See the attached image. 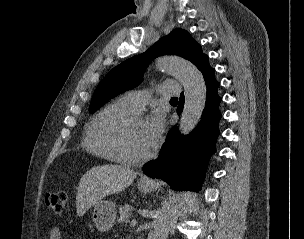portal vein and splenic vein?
<instances>
[{
    "mask_svg": "<svg viewBox=\"0 0 304 239\" xmlns=\"http://www.w3.org/2000/svg\"><path fill=\"white\" fill-rule=\"evenodd\" d=\"M136 223H137V221H136V220H132V221H131V223H130V225H131V226H135V225H136Z\"/></svg>",
    "mask_w": 304,
    "mask_h": 239,
    "instance_id": "portal-vein-and-splenic-vein-1",
    "label": "portal vein and splenic vein"
}]
</instances>
